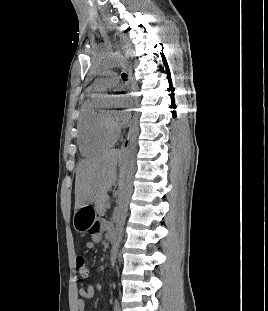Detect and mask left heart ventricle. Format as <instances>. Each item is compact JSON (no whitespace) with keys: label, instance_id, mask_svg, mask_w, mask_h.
<instances>
[{"label":"left heart ventricle","instance_id":"obj_1","mask_svg":"<svg viewBox=\"0 0 268 311\" xmlns=\"http://www.w3.org/2000/svg\"><path fill=\"white\" fill-rule=\"evenodd\" d=\"M106 114L111 115V112H106Z\"/></svg>","mask_w":268,"mask_h":311}]
</instances>
